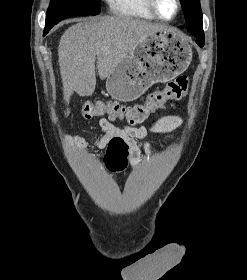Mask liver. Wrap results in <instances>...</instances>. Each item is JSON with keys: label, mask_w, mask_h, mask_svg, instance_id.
Instances as JSON below:
<instances>
[{"label": "liver", "mask_w": 247, "mask_h": 280, "mask_svg": "<svg viewBox=\"0 0 247 280\" xmlns=\"http://www.w3.org/2000/svg\"><path fill=\"white\" fill-rule=\"evenodd\" d=\"M171 30L160 23L122 16L87 19L69 27L58 46L63 95L91 96L96 87L95 61L101 80L146 37ZM69 114L67 109L66 115Z\"/></svg>", "instance_id": "liver-1"}]
</instances>
